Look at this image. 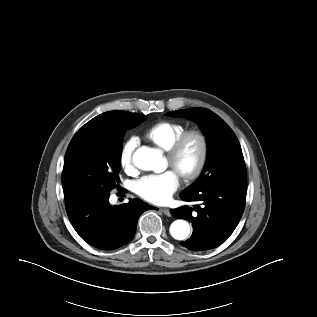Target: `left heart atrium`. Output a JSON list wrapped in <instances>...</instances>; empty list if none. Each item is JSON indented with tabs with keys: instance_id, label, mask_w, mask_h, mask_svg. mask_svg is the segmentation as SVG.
<instances>
[{
	"instance_id": "left-heart-atrium-1",
	"label": "left heart atrium",
	"mask_w": 317,
	"mask_h": 317,
	"mask_svg": "<svg viewBox=\"0 0 317 317\" xmlns=\"http://www.w3.org/2000/svg\"><path fill=\"white\" fill-rule=\"evenodd\" d=\"M178 187L179 176L173 170L143 176L135 183L136 193L155 204L168 202Z\"/></svg>"
}]
</instances>
